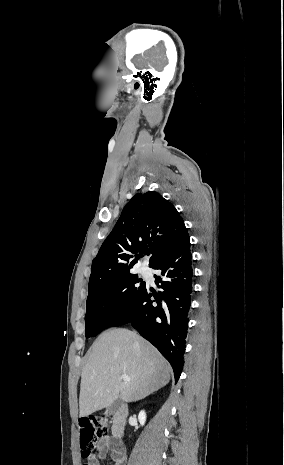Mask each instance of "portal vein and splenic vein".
I'll return each mask as SVG.
<instances>
[{"mask_svg":"<svg viewBox=\"0 0 284 465\" xmlns=\"http://www.w3.org/2000/svg\"><path fill=\"white\" fill-rule=\"evenodd\" d=\"M121 379H123L124 383H130L131 379L128 375H121Z\"/></svg>","mask_w":284,"mask_h":465,"instance_id":"obj_1","label":"portal vein and splenic vein"}]
</instances>
